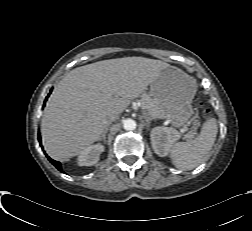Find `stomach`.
I'll return each mask as SVG.
<instances>
[{"instance_id": "obj_1", "label": "stomach", "mask_w": 252, "mask_h": 231, "mask_svg": "<svg viewBox=\"0 0 252 231\" xmlns=\"http://www.w3.org/2000/svg\"><path fill=\"white\" fill-rule=\"evenodd\" d=\"M196 91V80L171 66L164 68L150 85V95L159 110V118L170 120L175 127L186 125L192 117Z\"/></svg>"}]
</instances>
